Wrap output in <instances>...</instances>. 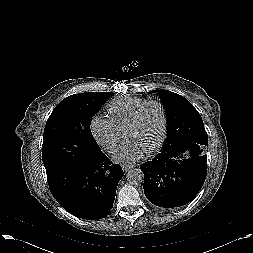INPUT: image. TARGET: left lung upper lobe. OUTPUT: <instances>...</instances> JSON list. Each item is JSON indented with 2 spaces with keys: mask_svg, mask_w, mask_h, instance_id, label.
I'll list each match as a JSON object with an SVG mask.
<instances>
[{
  "mask_svg": "<svg viewBox=\"0 0 253 253\" xmlns=\"http://www.w3.org/2000/svg\"><path fill=\"white\" fill-rule=\"evenodd\" d=\"M167 114V138L162 148L184 142L208 145L203 120L195 107L183 96L168 90H154Z\"/></svg>",
  "mask_w": 253,
  "mask_h": 253,
  "instance_id": "1",
  "label": "left lung upper lobe"
}]
</instances>
